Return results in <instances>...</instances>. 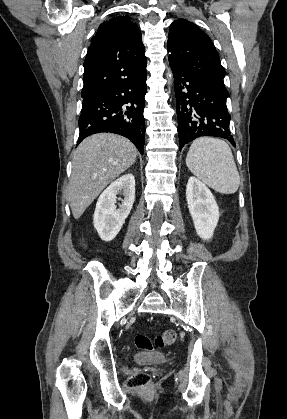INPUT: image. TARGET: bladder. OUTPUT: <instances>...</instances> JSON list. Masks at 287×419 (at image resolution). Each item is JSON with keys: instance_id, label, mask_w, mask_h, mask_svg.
<instances>
[{"instance_id": "31cf9c89", "label": "bladder", "mask_w": 287, "mask_h": 419, "mask_svg": "<svg viewBox=\"0 0 287 419\" xmlns=\"http://www.w3.org/2000/svg\"><path fill=\"white\" fill-rule=\"evenodd\" d=\"M136 360L144 364H159V363H163L166 360V358L164 355L150 354V355L138 356Z\"/></svg>"}]
</instances>
